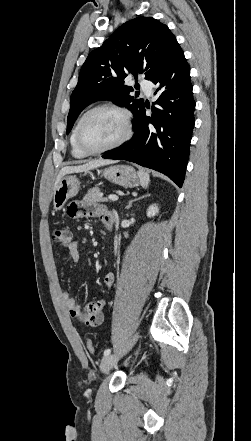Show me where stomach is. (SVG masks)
<instances>
[{"label":"stomach","instance_id":"1","mask_svg":"<svg viewBox=\"0 0 251 441\" xmlns=\"http://www.w3.org/2000/svg\"><path fill=\"white\" fill-rule=\"evenodd\" d=\"M110 182L125 188H134L140 184L139 174L128 165H115L101 171ZM80 188V181L75 175L62 177L54 190L53 206L56 211L61 210L66 202L74 197Z\"/></svg>","mask_w":251,"mask_h":441}]
</instances>
